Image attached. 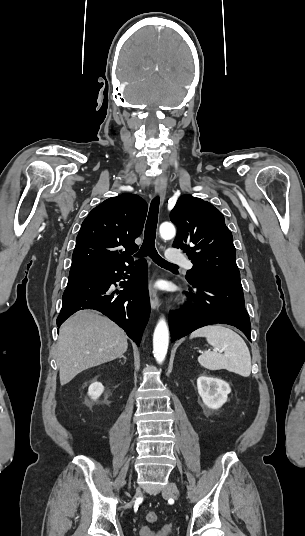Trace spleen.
<instances>
[{"mask_svg": "<svg viewBox=\"0 0 305 536\" xmlns=\"http://www.w3.org/2000/svg\"><path fill=\"white\" fill-rule=\"evenodd\" d=\"M190 338H206L208 344L213 348L223 350L221 352H204L198 358L199 364L206 370H228L239 374L243 378H248L251 374V356L250 352L242 338L224 328L222 324L216 326H205L192 332Z\"/></svg>", "mask_w": 305, "mask_h": 536, "instance_id": "3e777b00", "label": "spleen"}]
</instances>
